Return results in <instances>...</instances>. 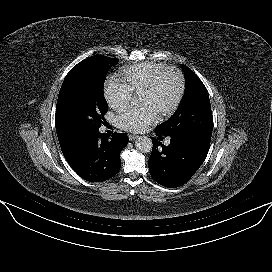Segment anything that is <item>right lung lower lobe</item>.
<instances>
[{"label": "right lung lower lobe", "instance_id": "1", "mask_svg": "<svg viewBox=\"0 0 272 272\" xmlns=\"http://www.w3.org/2000/svg\"><path fill=\"white\" fill-rule=\"evenodd\" d=\"M128 141L126 134L115 133L108 139L97 131L84 140L66 160L83 179L89 182L106 181L120 170V152Z\"/></svg>", "mask_w": 272, "mask_h": 272}]
</instances>
